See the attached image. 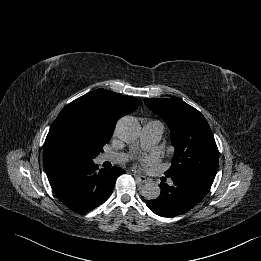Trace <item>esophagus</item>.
I'll list each match as a JSON object with an SVG mask.
<instances>
[{
	"label": "esophagus",
	"mask_w": 261,
	"mask_h": 261,
	"mask_svg": "<svg viewBox=\"0 0 261 261\" xmlns=\"http://www.w3.org/2000/svg\"><path fill=\"white\" fill-rule=\"evenodd\" d=\"M135 178L141 182V183H146V182H149L150 179L144 175H140V174H134Z\"/></svg>",
	"instance_id": "1"
}]
</instances>
